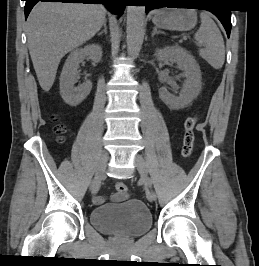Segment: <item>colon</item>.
I'll list each match as a JSON object with an SVG mask.
<instances>
[{
    "mask_svg": "<svg viewBox=\"0 0 259 266\" xmlns=\"http://www.w3.org/2000/svg\"><path fill=\"white\" fill-rule=\"evenodd\" d=\"M198 118L197 116H190L184 122V134L182 140V148L181 154L183 157L187 158L192 154L194 142H195V134L194 129L197 124ZM57 133L62 136L65 132V127L61 124L56 126ZM116 192L119 194H126L127 193V186L123 182H117L115 184Z\"/></svg>",
    "mask_w": 259,
    "mask_h": 266,
    "instance_id": "1",
    "label": "colon"
}]
</instances>
